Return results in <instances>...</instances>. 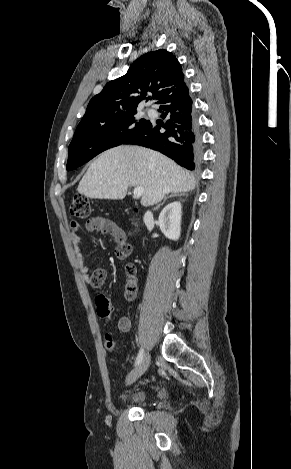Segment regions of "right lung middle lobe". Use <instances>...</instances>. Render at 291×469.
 Returning a JSON list of instances; mask_svg holds the SVG:
<instances>
[{
    "mask_svg": "<svg viewBox=\"0 0 291 469\" xmlns=\"http://www.w3.org/2000/svg\"><path fill=\"white\" fill-rule=\"evenodd\" d=\"M136 110L96 120H83L69 145L67 170H73L106 149L123 144L135 131L147 124L135 117Z\"/></svg>",
    "mask_w": 291,
    "mask_h": 469,
    "instance_id": "1",
    "label": "right lung middle lobe"
}]
</instances>
